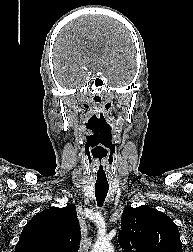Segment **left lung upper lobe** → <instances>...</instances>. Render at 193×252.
<instances>
[{"label": "left lung upper lobe", "mask_w": 193, "mask_h": 252, "mask_svg": "<svg viewBox=\"0 0 193 252\" xmlns=\"http://www.w3.org/2000/svg\"><path fill=\"white\" fill-rule=\"evenodd\" d=\"M119 244L123 252H183L173 220L145 205L124 209Z\"/></svg>", "instance_id": "1"}]
</instances>
